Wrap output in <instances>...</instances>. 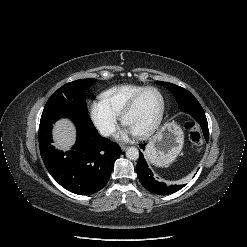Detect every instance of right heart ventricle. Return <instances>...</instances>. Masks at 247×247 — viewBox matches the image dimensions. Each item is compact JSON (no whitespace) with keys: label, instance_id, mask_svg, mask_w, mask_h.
<instances>
[{"label":"right heart ventricle","instance_id":"1","mask_svg":"<svg viewBox=\"0 0 247 247\" xmlns=\"http://www.w3.org/2000/svg\"><path fill=\"white\" fill-rule=\"evenodd\" d=\"M143 88L145 87L135 84L118 85L103 91L100 98L112 112L119 116L131 98Z\"/></svg>","mask_w":247,"mask_h":247}]
</instances>
